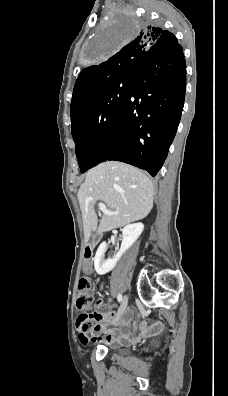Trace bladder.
Returning <instances> with one entry per match:
<instances>
[{"label":"bladder","mask_w":228,"mask_h":396,"mask_svg":"<svg viewBox=\"0 0 228 396\" xmlns=\"http://www.w3.org/2000/svg\"><path fill=\"white\" fill-rule=\"evenodd\" d=\"M115 352L120 356H128L130 354V350L127 348H118Z\"/></svg>","instance_id":"1"}]
</instances>
